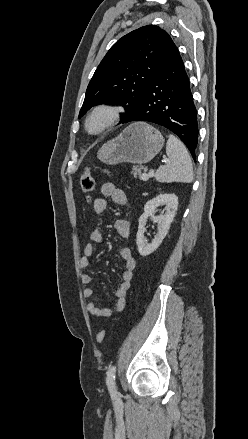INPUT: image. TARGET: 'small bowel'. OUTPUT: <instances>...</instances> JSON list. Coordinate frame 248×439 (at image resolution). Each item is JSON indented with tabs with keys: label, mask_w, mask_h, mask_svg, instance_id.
<instances>
[{
	"label": "small bowel",
	"mask_w": 248,
	"mask_h": 439,
	"mask_svg": "<svg viewBox=\"0 0 248 439\" xmlns=\"http://www.w3.org/2000/svg\"><path fill=\"white\" fill-rule=\"evenodd\" d=\"M101 194L110 198L116 205L124 207L127 202L126 193L116 187L113 183L107 182L101 186ZM107 208V201L104 198H96L93 202V210L97 215L102 214ZM115 229L120 238L126 239L130 234V223L124 217H119L115 222ZM90 241L85 245L83 256L80 259V267L86 269L90 265V257L95 252V244L103 241V232L100 228H95L90 233ZM120 258L124 261V270L121 274V281L115 291L116 300L111 308L98 307L93 301L87 304V311L96 317L108 318L113 313L120 312L125 306V297L130 288L133 272L136 268V261L132 256L131 249L123 247L119 251ZM80 280L83 285V295L85 298H92L94 290L89 284L92 278L87 273H82Z\"/></svg>",
	"instance_id": "1"
}]
</instances>
